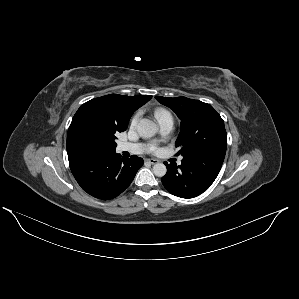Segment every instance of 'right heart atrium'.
Returning a JSON list of instances; mask_svg holds the SVG:
<instances>
[{"label":"right heart atrium","mask_w":299,"mask_h":299,"mask_svg":"<svg viewBox=\"0 0 299 299\" xmlns=\"http://www.w3.org/2000/svg\"><path fill=\"white\" fill-rule=\"evenodd\" d=\"M140 117V113H136L132 118H131V126H135L136 123L138 122Z\"/></svg>","instance_id":"right-heart-atrium-1"}]
</instances>
